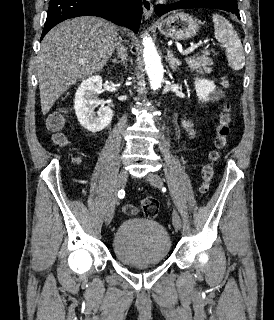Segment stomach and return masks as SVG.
Here are the masks:
<instances>
[{
  "label": "stomach",
  "mask_w": 274,
  "mask_h": 320,
  "mask_svg": "<svg viewBox=\"0 0 274 320\" xmlns=\"http://www.w3.org/2000/svg\"><path fill=\"white\" fill-rule=\"evenodd\" d=\"M201 24L202 22L193 18V16L178 12V14L168 16L165 20H160L156 26L159 32H161L163 36H166V38H172V40H188V38L196 36L201 28Z\"/></svg>",
  "instance_id": "obj_1"
}]
</instances>
